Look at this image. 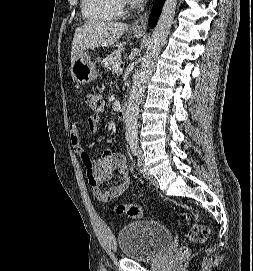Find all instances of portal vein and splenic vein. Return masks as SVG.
Here are the masks:
<instances>
[{"mask_svg": "<svg viewBox=\"0 0 253 271\" xmlns=\"http://www.w3.org/2000/svg\"><path fill=\"white\" fill-rule=\"evenodd\" d=\"M113 71L115 73H121L123 71V69L119 65H116L113 67Z\"/></svg>", "mask_w": 253, "mask_h": 271, "instance_id": "1", "label": "portal vein and splenic vein"}]
</instances>
